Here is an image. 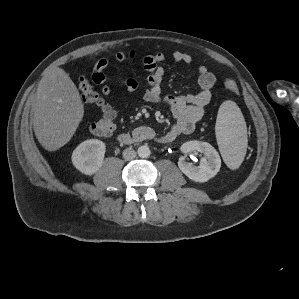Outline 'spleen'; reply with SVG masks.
Masks as SVG:
<instances>
[{
  "mask_svg": "<svg viewBox=\"0 0 299 299\" xmlns=\"http://www.w3.org/2000/svg\"><path fill=\"white\" fill-rule=\"evenodd\" d=\"M215 131L225 163L230 169H237L246 153L247 128L242 112L235 102L227 100L221 104Z\"/></svg>",
  "mask_w": 299,
  "mask_h": 299,
  "instance_id": "obj_1",
  "label": "spleen"
}]
</instances>
